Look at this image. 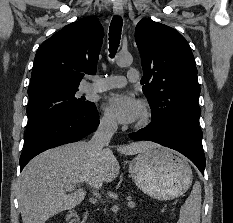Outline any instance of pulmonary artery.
Listing matches in <instances>:
<instances>
[{
  "label": "pulmonary artery",
  "mask_w": 233,
  "mask_h": 223,
  "mask_svg": "<svg viewBox=\"0 0 233 223\" xmlns=\"http://www.w3.org/2000/svg\"><path fill=\"white\" fill-rule=\"evenodd\" d=\"M139 79V72L136 69H130L127 73V77L124 76H111L106 78H96L95 83L90 86L94 91H105L116 87H122L127 83L135 82Z\"/></svg>",
  "instance_id": "e3ab8cb5"
}]
</instances>
